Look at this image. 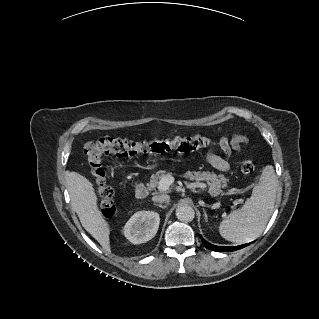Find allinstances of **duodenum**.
<instances>
[{
	"label": "duodenum",
	"instance_id": "duodenum-1",
	"mask_svg": "<svg viewBox=\"0 0 319 319\" xmlns=\"http://www.w3.org/2000/svg\"><path fill=\"white\" fill-rule=\"evenodd\" d=\"M134 194L136 199L143 200L149 195V190L144 184H138L135 187Z\"/></svg>",
	"mask_w": 319,
	"mask_h": 319
}]
</instances>
